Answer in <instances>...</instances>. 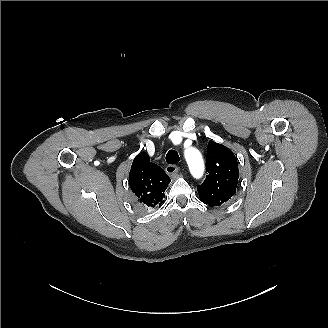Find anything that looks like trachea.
<instances>
[{"mask_svg": "<svg viewBox=\"0 0 328 328\" xmlns=\"http://www.w3.org/2000/svg\"><path fill=\"white\" fill-rule=\"evenodd\" d=\"M165 159H166V162L170 165L177 164L180 160L178 153L173 149H170L167 152Z\"/></svg>", "mask_w": 328, "mask_h": 328, "instance_id": "trachea-1", "label": "trachea"}]
</instances>
